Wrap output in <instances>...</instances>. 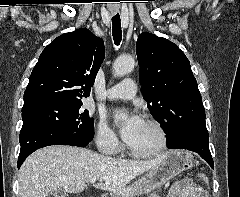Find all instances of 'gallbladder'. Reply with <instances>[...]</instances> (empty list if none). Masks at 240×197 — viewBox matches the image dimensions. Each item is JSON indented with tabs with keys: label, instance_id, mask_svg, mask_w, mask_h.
I'll return each instance as SVG.
<instances>
[{
	"label": "gallbladder",
	"instance_id": "obj_1",
	"mask_svg": "<svg viewBox=\"0 0 240 197\" xmlns=\"http://www.w3.org/2000/svg\"><path fill=\"white\" fill-rule=\"evenodd\" d=\"M52 197H67V194L61 190L51 192Z\"/></svg>",
	"mask_w": 240,
	"mask_h": 197
}]
</instances>
